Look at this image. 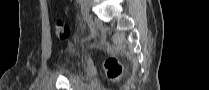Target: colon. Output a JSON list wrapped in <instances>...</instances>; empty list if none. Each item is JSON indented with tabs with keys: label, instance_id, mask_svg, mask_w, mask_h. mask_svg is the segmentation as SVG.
<instances>
[{
	"label": "colon",
	"instance_id": "obj_1",
	"mask_svg": "<svg viewBox=\"0 0 209 90\" xmlns=\"http://www.w3.org/2000/svg\"><path fill=\"white\" fill-rule=\"evenodd\" d=\"M55 34L59 41H66L70 37L69 26L61 20L55 23ZM107 76L112 81H118L123 74V66L116 57H109L105 62Z\"/></svg>",
	"mask_w": 209,
	"mask_h": 90
}]
</instances>
